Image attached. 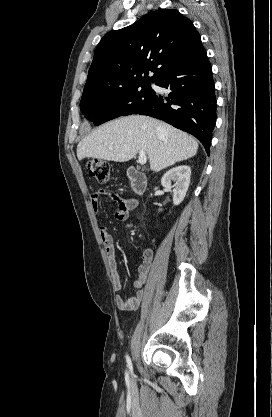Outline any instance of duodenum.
Masks as SVG:
<instances>
[{
	"label": "duodenum",
	"instance_id": "obj_1",
	"mask_svg": "<svg viewBox=\"0 0 272 417\" xmlns=\"http://www.w3.org/2000/svg\"><path fill=\"white\" fill-rule=\"evenodd\" d=\"M127 177L135 194H142L146 189V178L142 172L134 167L127 170Z\"/></svg>",
	"mask_w": 272,
	"mask_h": 417
}]
</instances>
